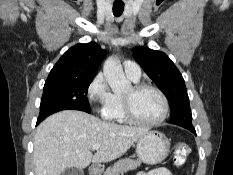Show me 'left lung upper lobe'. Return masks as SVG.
<instances>
[{
    "mask_svg": "<svg viewBox=\"0 0 233 175\" xmlns=\"http://www.w3.org/2000/svg\"><path fill=\"white\" fill-rule=\"evenodd\" d=\"M133 57L146 74L166 95L170 103L169 123L181 127H193L184 79L172 60L163 52L146 47H134Z\"/></svg>",
    "mask_w": 233,
    "mask_h": 175,
    "instance_id": "left-lung-upper-lobe-1",
    "label": "left lung upper lobe"
}]
</instances>
